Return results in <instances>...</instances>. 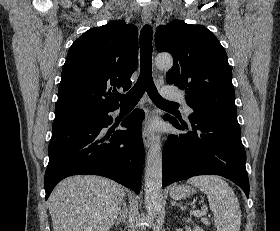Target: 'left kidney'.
<instances>
[{
    "label": "left kidney",
    "instance_id": "1",
    "mask_svg": "<svg viewBox=\"0 0 280 231\" xmlns=\"http://www.w3.org/2000/svg\"><path fill=\"white\" fill-rule=\"evenodd\" d=\"M187 221H191V219H187ZM193 231H204V229H202V227H199V225H194Z\"/></svg>",
    "mask_w": 280,
    "mask_h": 231
}]
</instances>
